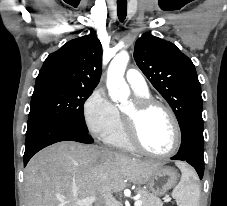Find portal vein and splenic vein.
<instances>
[{"label":"portal vein and splenic vein","mask_w":227,"mask_h":206,"mask_svg":"<svg viewBox=\"0 0 227 206\" xmlns=\"http://www.w3.org/2000/svg\"><path fill=\"white\" fill-rule=\"evenodd\" d=\"M140 195H138V198ZM96 201L95 196H91L82 200L77 201V206H92V204ZM134 206H142V201L137 199L134 203Z\"/></svg>","instance_id":"1"}]
</instances>
